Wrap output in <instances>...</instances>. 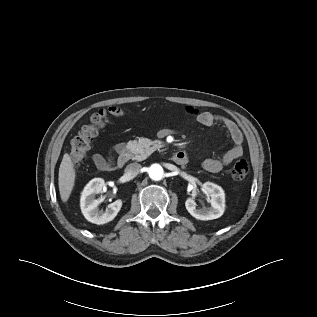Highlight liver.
Returning <instances> with one entry per match:
<instances>
[{
  "instance_id": "1",
  "label": "liver",
  "mask_w": 317,
  "mask_h": 317,
  "mask_svg": "<svg viewBox=\"0 0 317 317\" xmlns=\"http://www.w3.org/2000/svg\"><path fill=\"white\" fill-rule=\"evenodd\" d=\"M59 192L63 202H67L75 183V170L69 154H64L59 167Z\"/></svg>"
}]
</instances>
